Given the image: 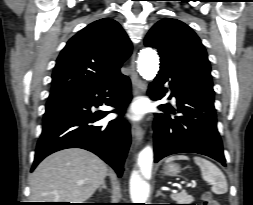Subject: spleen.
<instances>
[{"label":"spleen","instance_id":"3e777b00","mask_svg":"<svg viewBox=\"0 0 253 205\" xmlns=\"http://www.w3.org/2000/svg\"><path fill=\"white\" fill-rule=\"evenodd\" d=\"M194 162L200 167L202 178L212 185L211 191L215 194H224L228 190L227 181L223 172L212 162L205 158L195 156ZM173 160H189L187 156H170L166 162Z\"/></svg>","mask_w":253,"mask_h":205}]
</instances>
